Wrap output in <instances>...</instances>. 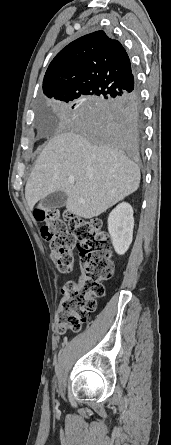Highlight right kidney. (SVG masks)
Returning <instances> with one entry per match:
<instances>
[{"instance_id":"right-kidney-1","label":"right kidney","mask_w":171,"mask_h":445,"mask_svg":"<svg viewBox=\"0 0 171 445\" xmlns=\"http://www.w3.org/2000/svg\"><path fill=\"white\" fill-rule=\"evenodd\" d=\"M133 227V208L130 204L122 202L108 217V231L118 255H123L128 250L133 238Z\"/></svg>"}]
</instances>
